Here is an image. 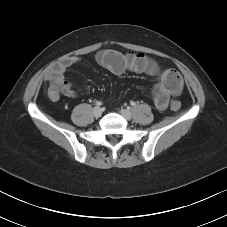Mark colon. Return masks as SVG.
Masks as SVG:
<instances>
[{
	"mask_svg": "<svg viewBox=\"0 0 227 227\" xmlns=\"http://www.w3.org/2000/svg\"><path fill=\"white\" fill-rule=\"evenodd\" d=\"M162 77L169 84H177V83L181 82V77H180L179 73L173 69H166L162 73ZM170 108L172 111L178 112L181 109V103L177 100H173L170 103Z\"/></svg>",
	"mask_w": 227,
	"mask_h": 227,
	"instance_id": "5ec220e1",
	"label": "colon"
}]
</instances>
